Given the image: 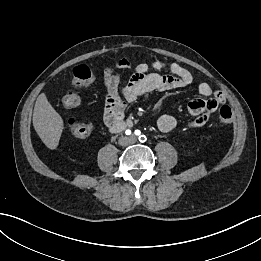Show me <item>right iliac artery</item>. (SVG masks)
Instances as JSON below:
<instances>
[{"instance_id":"obj_1","label":"right iliac artery","mask_w":261,"mask_h":261,"mask_svg":"<svg viewBox=\"0 0 261 261\" xmlns=\"http://www.w3.org/2000/svg\"><path fill=\"white\" fill-rule=\"evenodd\" d=\"M126 135H130L131 134V131L130 130H126Z\"/></svg>"}]
</instances>
